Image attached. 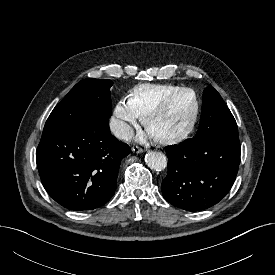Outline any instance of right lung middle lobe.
I'll return each mask as SVG.
<instances>
[{
    "instance_id": "right-lung-middle-lobe-1",
    "label": "right lung middle lobe",
    "mask_w": 275,
    "mask_h": 275,
    "mask_svg": "<svg viewBox=\"0 0 275 275\" xmlns=\"http://www.w3.org/2000/svg\"><path fill=\"white\" fill-rule=\"evenodd\" d=\"M107 79H85L77 83L53 109L43 132L78 129L111 116L110 87Z\"/></svg>"
}]
</instances>
